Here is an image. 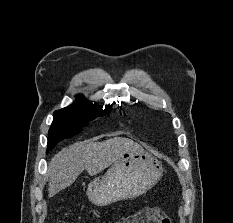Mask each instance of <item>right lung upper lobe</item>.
I'll list each match as a JSON object with an SVG mask.
<instances>
[{"label": "right lung upper lobe", "instance_id": "right-lung-upper-lobe-1", "mask_svg": "<svg viewBox=\"0 0 233 223\" xmlns=\"http://www.w3.org/2000/svg\"><path fill=\"white\" fill-rule=\"evenodd\" d=\"M75 104H79V105H97L96 103L92 104L90 102H83L82 98H78V103ZM110 106V105H109Z\"/></svg>", "mask_w": 233, "mask_h": 223}]
</instances>
